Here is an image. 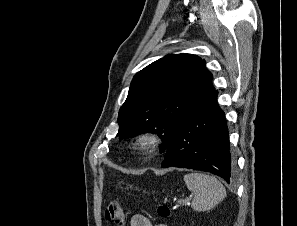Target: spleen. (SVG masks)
<instances>
[{"instance_id": "1", "label": "spleen", "mask_w": 297, "mask_h": 226, "mask_svg": "<svg viewBox=\"0 0 297 226\" xmlns=\"http://www.w3.org/2000/svg\"><path fill=\"white\" fill-rule=\"evenodd\" d=\"M187 188L194 193L191 207L195 211H207L218 205L226 196L224 186L214 177L193 172L184 175Z\"/></svg>"}]
</instances>
